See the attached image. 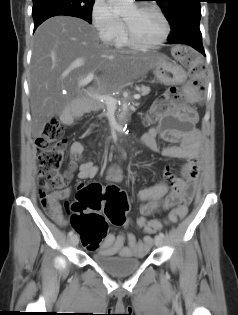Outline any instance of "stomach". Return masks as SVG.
<instances>
[{
	"label": "stomach",
	"mask_w": 238,
	"mask_h": 315,
	"mask_svg": "<svg viewBox=\"0 0 238 315\" xmlns=\"http://www.w3.org/2000/svg\"><path fill=\"white\" fill-rule=\"evenodd\" d=\"M155 78L165 85L181 87L182 91H191V84H183L191 78L190 72H181L180 68L174 64L167 56L161 55L159 61L153 67ZM179 116H197V109H179Z\"/></svg>",
	"instance_id": "obj_1"
}]
</instances>
